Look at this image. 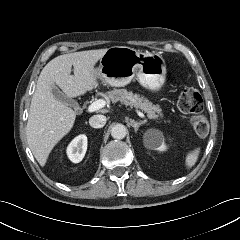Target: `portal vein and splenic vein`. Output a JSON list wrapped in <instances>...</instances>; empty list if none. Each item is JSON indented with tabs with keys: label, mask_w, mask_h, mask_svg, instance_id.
Instances as JSON below:
<instances>
[{
	"label": "portal vein and splenic vein",
	"mask_w": 240,
	"mask_h": 240,
	"mask_svg": "<svg viewBox=\"0 0 240 240\" xmlns=\"http://www.w3.org/2000/svg\"><path fill=\"white\" fill-rule=\"evenodd\" d=\"M106 105V102L103 100V99H99V100H96L95 102H93L92 104H90L88 106V109L87 111L89 113H92V112H95L101 108H103L104 106ZM138 116L141 117V118H145L144 114L140 111H136Z\"/></svg>",
	"instance_id": "obj_1"
}]
</instances>
